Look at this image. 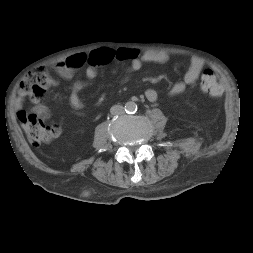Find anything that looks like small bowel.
<instances>
[{
	"mask_svg": "<svg viewBox=\"0 0 253 253\" xmlns=\"http://www.w3.org/2000/svg\"><path fill=\"white\" fill-rule=\"evenodd\" d=\"M128 61L129 65L120 77V82L125 83L130 76L141 69L144 62L165 63L168 61V55L160 52L146 51L140 53L136 49L130 48H98L84 54H75L57 63V70L60 76L66 80L74 77L76 71L82 70L87 80L76 81L71 89L69 107L78 112L84 108V102L80 98L81 92L87 89L90 82L97 77L98 68L105 66L113 61ZM204 71V62L201 58L194 57L184 74L181 81L175 82L168 90L169 95H178L184 92L187 86L194 84ZM145 97L148 101L154 102L158 98V93L154 89L145 91ZM40 116L47 118L48 110L44 106H38L35 109Z\"/></svg>",
	"mask_w": 253,
	"mask_h": 253,
	"instance_id": "c3829d8e",
	"label": "small bowel"
}]
</instances>
